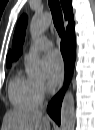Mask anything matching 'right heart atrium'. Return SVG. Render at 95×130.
I'll return each instance as SVG.
<instances>
[{
	"mask_svg": "<svg viewBox=\"0 0 95 130\" xmlns=\"http://www.w3.org/2000/svg\"><path fill=\"white\" fill-rule=\"evenodd\" d=\"M37 91L41 98H43L47 92L46 85L42 81H35Z\"/></svg>",
	"mask_w": 95,
	"mask_h": 130,
	"instance_id": "d8ad5b80",
	"label": "right heart atrium"
}]
</instances>
